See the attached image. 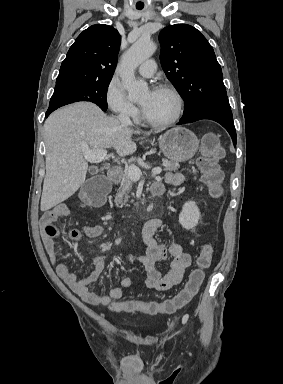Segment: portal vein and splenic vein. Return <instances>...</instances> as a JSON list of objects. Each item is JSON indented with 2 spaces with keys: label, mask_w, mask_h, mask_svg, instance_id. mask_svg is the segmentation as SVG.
I'll use <instances>...</instances> for the list:
<instances>
[{
  "label": "portal vein and splenic vein",
  "mask_w": 283,
  "mask_h": 384,
  "mask_svg": "<svg viewBox=\"0 0 283 384\" xmlns=\"http://www.w3.org/2000/svg\"><path fill=\"white\" fill-rule=\"evenodd\" d=\"M107 156V150H86L84 152V158L87 162H91V164H99V162H103L104 158ZM161 168H153L152 174L153 176H157V174H161ZM127 176H129L132 182H138L142 176L141 170L137 168V166H129L127 168Z\"/></svg>",
  "instance_id": "18ae733b"
}]
</instances>
